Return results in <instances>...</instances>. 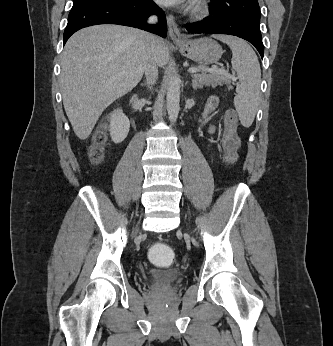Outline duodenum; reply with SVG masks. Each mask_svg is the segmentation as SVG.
Here are the masks:
<instances>
[{"instance_id": "duodenum-1", "label": "duodenum", "mask_w": 333, "mask_h": 346, "mask_svg": "<svg viewBox=\"0 0 333 346\" xmlns=\"http://www.w3.org/2000/svg\"><path fill=\"white\" fill-rule=\"evenodd\" d=\"M137 101H138V95L137 94H133L131 96V99H130V105H131L132 108L136 107Z\"/></svg>"}]
</instances>
